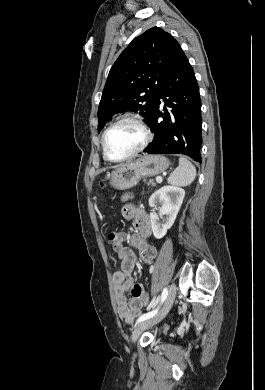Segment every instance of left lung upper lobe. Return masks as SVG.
Listing matches in <instances>:
<instances>
[{"mask_svg":"<svg viewBox=\"0 0 265 390\" xmlns=\"http://www.w3.org/2000/svg\"><path fill=\"white\" fill-rule=\"evenodd\" d=\"M183 53L173 36L153 27L136 37L109 72L98 108V132L116 113L139 111L150 122L157 93Z\"/></svg>","mask_w":265,"mask_h":390,"instance_id":"left-lung-upper-lobe-1","label":"left lung upper lobe"}]
</instances>
